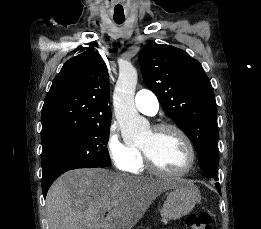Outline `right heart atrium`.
<instances>
[{
	"mask_svg": "<svg viewBox=\"0 0 261 229\" xmlns=\"http://www.w3.org/2000/svg\"><path fill=\"white\" fill-rule=\"evenodd\" d=\"M105 146L108 157L116 169L122 172L134 170L138 161L136 147L125 142L114 125L108 130Z\"/></svg>",
	"mask_w": 261,
	"mask_h": 229,
	"instance_id": "right-heart-atrium-1",
	"label": "right heart atrium"
}]
</instances>
